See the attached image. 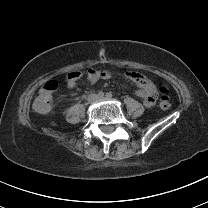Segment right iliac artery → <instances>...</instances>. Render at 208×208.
Masks as SVG:
<instances>
[{
  "label": "right iliac artery",
  "mask_w": 208,
  "mask_h": 208,
  "mask_svg": "<svg viewBox=\"0 0 208 208\" xmlns=\"http://www.w3.org/2000/svg\"><path fill=\"white\" fill-rule=\"evenodd\" d=\"M104 96V92L103 91H99L98 92V97H103Z\"/></svg>",
  "instance_id": "82829eb1"
}]
</instances>
